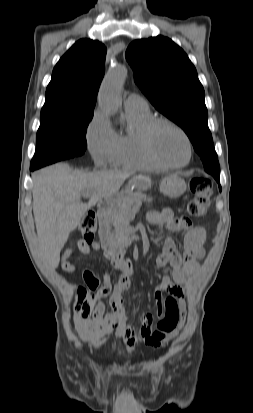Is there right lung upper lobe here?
I'll use <instances>...</instances> for the list:
<instances>
[{
    "instance_id": "right-lung-upper-lobe-1",
    "label": "right lung upper lobe",
    "mask_w": 253,
    "mask_h": 413,
    "mask_svg": "<svg viewBox=\"0 0 253 413\" xmlns=\"http://www.w3.org/2000/svg\"><path fill=\"white\" fill-rule=\"evenodd\" d=\"M106 52L99 41H77L53 69L41 115L93 113L105 72Z\"/></svg>"
}]
</instances>
